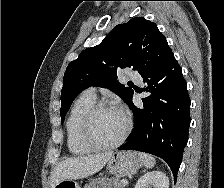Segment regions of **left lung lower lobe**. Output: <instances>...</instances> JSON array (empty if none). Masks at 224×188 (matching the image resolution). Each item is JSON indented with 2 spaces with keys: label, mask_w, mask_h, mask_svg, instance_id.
Masks as SVG:
<instances>
[{
  "label": "left lung lower lobe",
  "mask_w": 224,
  "mask_h": 188,
  "mask_svg": "<svg viewBox=\"0 0 224 188\" xmlns=\"http://www.w3.org/2000/svg\"><path fill=\"white\" fill-rule=\"evenodd\" d=\"M143 79L147 84L143 91L151 95L142 99L143 109L129 104L135 126L119 150H137L162 158L176 179L191 121L187 84L174 55Z\"/></svg>",
  "instance_id": "1"
}]
</instances>
